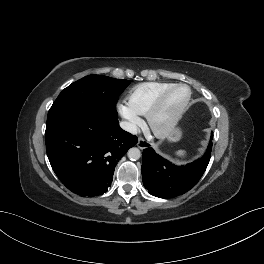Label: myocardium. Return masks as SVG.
Listing matches in <instances>:
<instances>
[{
    "label": "myocardium",
    "instance_id": "1",
    "mask_svg": "<svg viewBox=\"0 0 264 264\" xmlns=\"http://www.w3.org/2000/svg\"><path fill=\"white\" fill-rule=\"evenodd\" d=\"M179 87H184L188 90V96L185 100V102L183 103V105L176 111V113L164 124L160 125L157 123L156 119L158 114L160 113L165 100L167 98V96L176 88ZM192 97V91L190 89V87L186 84L183 83H176V84H172L169 87H167L166 89H164L155 99V101L153 102V104L151 105V107L149 108L147 114H146V119H147V124L149 126V128L151 129V131L157 135V136H166L168 134H170L178 125V123L180 122L184 112L186 111L190 100Z\"/></svg>",
    "mask_w": 264,
    "mask_h": 264
}]
</instances>
